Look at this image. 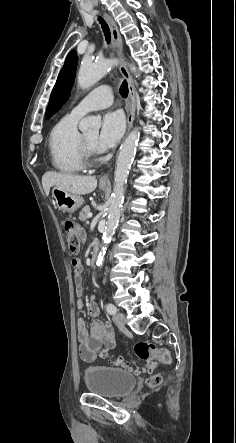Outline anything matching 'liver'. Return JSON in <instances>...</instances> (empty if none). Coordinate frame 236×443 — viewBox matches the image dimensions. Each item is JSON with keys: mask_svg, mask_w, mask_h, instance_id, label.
<instances>
[{"mask_svg": "<svg viewBox=\"0 0 236 443\" xmlns=\"http://www.w3.org/2000/svg\"><path fill=\"white\" fill-rule=\"evenodd\" d=\"M42 186L47 196L52 186H56L71 194L85 195L96 189L97 179L92 176H76L49 171L42 177Z\"/></svg>", "mask_w": 236, "mask_h": 443, "instance_id": "6515ba94", "label": "liver"}]
</instances>
